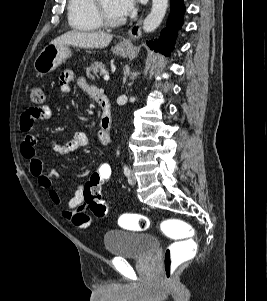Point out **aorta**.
<instances>
[{
  "mask_svg": "<svg viewBox=\"0 0 267 301\" xmlns=\"http://www.w3.org/2000/svg\"><path fill=\"white\" fill-rule=\"evenodd\" d=\"M168 6V0H152V9L143 22V30L154 31L162 22Z\"/></svg>",
  "mask_w": 267,
  "mask_h": 301,
  "instance_id": "aorta-1",
  "label": "aorta"
}]
</instances>
